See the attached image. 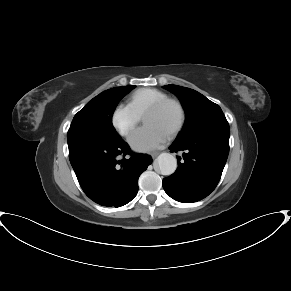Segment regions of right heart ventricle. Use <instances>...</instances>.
Returning a JSON list of instances; mask_svg holds the SVG:
<instances>
[{"instance_id":"obj_1","label":"right heart ventricle","mask_w":291,"mask_h":291,"mask_svg":"<svg viewBox=\"0 0 291 291\" xmlns=\"http://www.w3.org/2000/svg\"><path fill=\"white\" fill-rule=\"evenodd\" d=\"M167 97L166 93L158 89L141 88L131 94L129 104L140 116H142L149 105Z\"/></svg>"}]
</instances>
